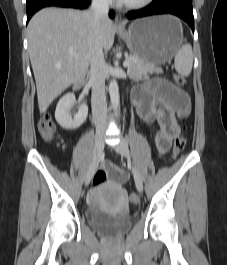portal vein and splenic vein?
I'll use <instances>...</instances> for the list:
<instances>
[{
	"label": "portal vein and splenic vein",
	"mask_w": 227,
	"mask_h": 265,
	"mask_svg": "<svg viewBox=\"0 0 227 265\" xmlns=\"http://www.w3.org/2000/svg\"><path fill=\"white\" fill-rule=\"evenodd\" d=\"M73 57L76 58L77 55H76V54H73ZM123 66H124V67H128V66H129V61H128V60H125L124 63H123Z\"/></svg>",
	"instance_id": "portal-vein-and-splenic-vein-1"
}]
</instances>
